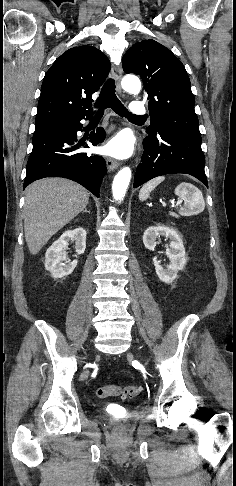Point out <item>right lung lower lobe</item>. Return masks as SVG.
<instances>
[{"label": "right lung lower lobe", "instance_id": "right-lung-lower-lobe-1", "mask_svg": "<svg viewBox=\"0 0 236 486\" xmlns=\"http://www.w3.org/2000/svg\"><path fill=\"white\" fill-rule=\"evenodd\" d=\"M90 114H73L36 125L24 189L38 179L64 177L78 182L99 197V188L107 171L105 160L98 155L77 152L84 144H75L77 131L82 130L80 120L89 119ZM89 137L92 145L96 146L105 139V131L97 128L96 133L91 132Z\"/></svg>", "mask_w": 236, "mask_h": 486}]
</instances>
